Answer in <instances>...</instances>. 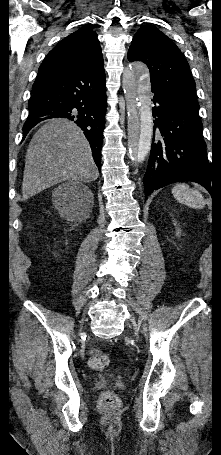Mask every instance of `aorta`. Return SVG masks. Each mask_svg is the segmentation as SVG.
<instances>
[{
  "label": "aorta",
  "instance_id": "obj_1",
  "mask_svg": "<svg viewBox=\"0 0 221 455\" xmlns=\"http://www.w3.org/2000/svg\"><path fill=\"white\" fill-rule=\"evenodd\" d=\"M122 87L128 114V148L133 161L143 162L150 152L153 119L148 68L134 62L123 72Z\"/></svg>",
  "mask_w": 221,
  "mask_h": 455
}]
</instances>
